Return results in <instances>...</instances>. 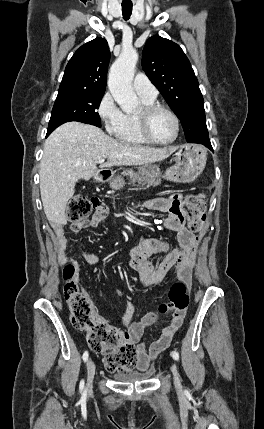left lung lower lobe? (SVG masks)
I'll return each instance as SVG.
<instances>
[{
	"mask_svg": "<svg viewBox=\"0 0 264 429\" xmlns=\"http://www.w3.org/2000/svg\"><path fill=\"white\" fill-rule=\"evenodd\" d=\"M199 144H202L213 151L210 141H203V142H200Z\"/></svg>",
	"mask_w": 264,
	"mask_h": 429,
	"instance_id": "0a47b994",
	"label": "left lung lower lobe"
}]
</instances>
